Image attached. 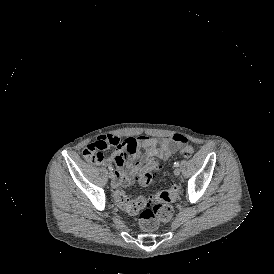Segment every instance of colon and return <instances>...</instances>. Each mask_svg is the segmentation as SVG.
Segmentation results:
<instances>
[{"label":"colon","instance_id":"5ec220e1","mask_svg":"<svg viewBox=\"0 0 274 274\" xmlns=\"http://www.w3.org/2000/svg\"><path fill=\"white\" fill-rule=\"evenodd\" d=\"M96 142V141H94ZM83 152H103V151H83ZM180 157L183 160H190L194 157L193 150L190 147H183L180 150ZM159 167L157 160L147 159L139 171L140 184L146 186L149 184L152 173ZM180 188L177 184H172L168 190L159 195L131 197L123 189H117L115 201L117 205L130 214H139L138 224L144 230H154L161 222L169 220L172 216V202L179 195Z\"/></svg>","mask_w":274,"mask_h":274}]
</instances>
